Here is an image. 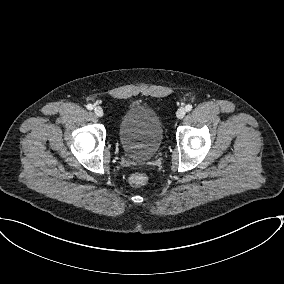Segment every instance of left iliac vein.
I'll return each mask as SVG.
<instances>
[{"label":"left iliac vein","instance_id":"obj_1","mask_svg":"<svg viewBox=\"0 0 284 284\" xmlns=\"http://www.w3.org/2000/svg\"><path fill=\"white\" fill-rule=\"evenodd\" d=\"M185 114H186V109L181 107L177 110L176 116L177 118L182 119L185 116Z\"/></svg>","mask_w":284,"mask_h":284}]
</instances>
